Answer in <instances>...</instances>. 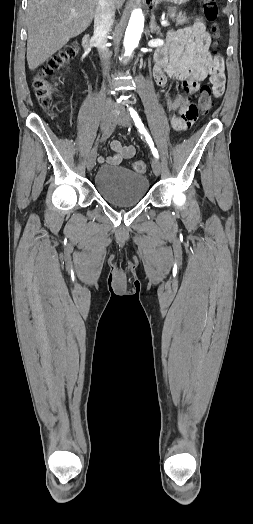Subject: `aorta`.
Listing matches in <instances>:
<instances>
[{"label": "aorta", "instance_id": "aorta-1", "mask_svg": "<svg viewBox=\"0 0 253 524\" xmlns=\"http://www.w3.org/2000/svg\"><path fill=\"white\" fill-rule=\"evenodd\" d=\"M144 27V17L140 9H135L130 17L124 38L125 55L130 56L137 47Z\"/></svg>", "mask_w": 253, "mask_h": 524}]
</instances>
